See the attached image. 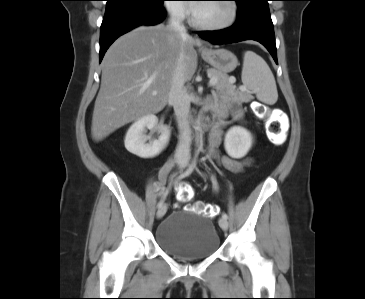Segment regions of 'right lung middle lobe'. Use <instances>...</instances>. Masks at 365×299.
<instances>
[{
  "label": "right lung middle lobe",
  "mask_w": 365,
  "mask_h": 299,
  "mask_svg": "<svg viewBox=\"0 0 365 299\" xmlns=\"http://www.w3.org/2000/svg\"><path fill=\"white\" fill-rule=\"evenodd\" d=\"M164 0H107L106 8L119 5V4H125V3H153V4H160Z\"/></svg>",
  "instance_id": "dd1d6c3e"
}]
</instances>
